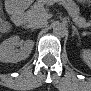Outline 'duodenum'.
Instances as JSON below:
<instances>
[{
	"instance_id": "1",
	"label": "duodenum",
	"mask_w": 91,
	"mask_h": 91,
	"mask_svg": "<svg viewBox=\"0 0 91 91\" xmlns=\"http://www.w3.org/2000/svg\"><path fill=\"white\" fill-rule=\"evenodd\" d=\"M15 24L16 26L18 27H22L24 25V16H23V13L20 12V11H15Z\"/></svg>"
}]
</instances>
